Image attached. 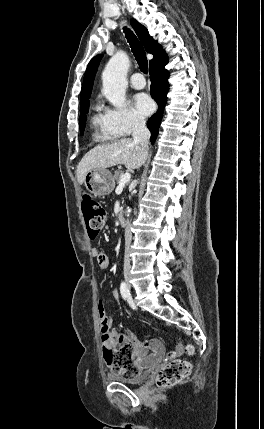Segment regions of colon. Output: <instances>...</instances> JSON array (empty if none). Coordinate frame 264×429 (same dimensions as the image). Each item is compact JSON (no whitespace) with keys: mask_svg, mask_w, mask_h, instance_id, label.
Instances as JSON below:
<instances>
[{"mask_svg":"<svg viewBox=\"0 0 264 429\" xmlns=\"http://www.w3.org/2000/svg\"><path fill=\"white\" fill-rule=\"evenodd\" d=\"M81 208L89 235L95 237L107 222V212L98 201L88 194L82 196ZM98 316L102 328L104 360L108 368L124 377L139 374L141 368L128 337L121 332L109 331L108 317L104 306L100 304L98 305ZM185 350L188 354L193 351L190 345H187ZM190 372L191 366L187 361L174 359L158 371L155 382L160 388L171 387L186 379Z\"/></svg>","mask_w":264,"mask_h":429,"instance_id":"colon-1","label":"colon"}]
</instances>
